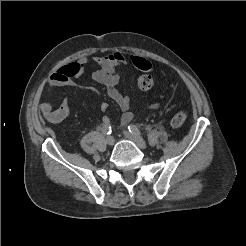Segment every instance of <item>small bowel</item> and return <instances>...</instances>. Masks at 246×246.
Listing matches in <instances>:
<instances>
[{
	"label": "small bowel",
	"instance_id": "obj_1",
	"mask_svg": "<svg viewBox=\"0 0 246 246\" xmlns=\"http://www.w3.org/2000/svg\"><path fill=\"white\" fill-rule=\"evenodd\" d=\"M89 61L99 66L92 77L96 82L105 86L108 96L121 109V122L123 124L130 122L134 117V112L131 110L130 98L122 94L117 87L120 77L116 72V68L126 63V56L123 52H114L106 56H95L91 60L82 58L59 68L49 78L48 97L51 96L52 91L57 87L77 86L75 79L83 73L84 66ZM92 90L95 91L94 89ZM100 108L103 112H106L108 108L107 102L101 101ZM150 108L156 110L160 108V105L153 104ZM39 109L44 117L52 123H60L69 115V107L66 101L62 102L58 107H53L52 103L46 100L40 103ZM102 120L104 124H111V120L106 115L103 116Z\"/></svg>",
	"mask_w": 246,
	"mask_h": 246
}]
</instances>
